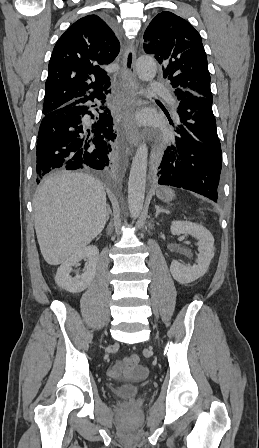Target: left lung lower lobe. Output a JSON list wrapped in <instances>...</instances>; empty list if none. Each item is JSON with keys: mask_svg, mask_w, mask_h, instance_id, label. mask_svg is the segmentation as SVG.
<instances>
[{"mask_svg": "<svg viewBox=\"0 0 259 448\" xmlns=\"http://www.w3.org/2000/svg\"><path fill=\"white\" fill-rule=\"evenodd\" d=\"M179 101L175 144L169 146L155 173L158 183L184 188L216 201L222 152L212 99L176 88Z\"/></svg>", "mask_w": 259, "mask_h": 448, "instance_id": "1", "label": "left lung lower lobe"}]
</instances>
